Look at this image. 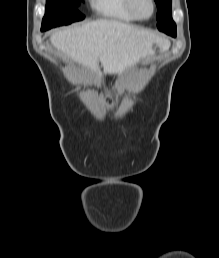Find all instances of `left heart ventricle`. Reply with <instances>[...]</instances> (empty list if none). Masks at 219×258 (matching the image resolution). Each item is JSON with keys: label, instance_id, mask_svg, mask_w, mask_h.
I'll use <instances>...</instances> for the list:
<instances>
[{"label": "left heart ventricle", "instance_id": "1", "mask_svg": "<svg viewBox=\"0 0 219 258\" xmlns=\"http://www.w3.org/2000/svg\"><path fill=\"white\" fill-rule=\"evenodd\" d=\"M135 6L137 12L141 16H149L152 10L151 3L149 0H135Z\"/></svg>", "mask_w": 219, "mask_h": 258}]
</instances>
